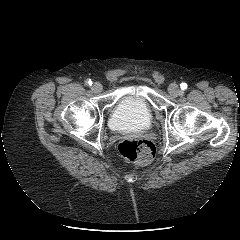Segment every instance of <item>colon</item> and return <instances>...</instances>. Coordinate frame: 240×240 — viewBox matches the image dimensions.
Here are the masks:
<instances>
[{"mask_svg": "<svg viewBox=\"0 0 240 240\" xmlns=\"http://www.w3.org/2000/svg\"><path fill=\"white\" fill-rule=\"evenodd\" d=\"M118 151L124 159L138 166L150 163L155 156L154 144L149 140L138 138L121 140Z\"/></svg>", "mask_w": 240, "mask_h": 240, "instance_id": "5ec220e1", "label": "colon"}]
</instances>
